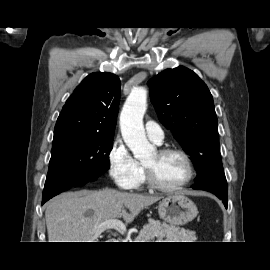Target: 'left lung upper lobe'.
<instances>
[{
	"label": "left lung upper lobe",
	"mask_w": 270,
	"mask_h": 270,
	"mask_svg": "<svg viewBox=\"0 0 270 270\" xmlns=\"http://www.w3.org/2000/svg\"><path fill=\"white\" fill-rule=\"evenodd\" d=\"M160 122L193 159L196 181L223 172L217 116L206 84L190 69H166L148 81Z\"/></svg>",
	"instance_id": "left-lung-upper-lobe-1"
}]
</instances>
